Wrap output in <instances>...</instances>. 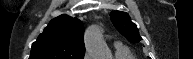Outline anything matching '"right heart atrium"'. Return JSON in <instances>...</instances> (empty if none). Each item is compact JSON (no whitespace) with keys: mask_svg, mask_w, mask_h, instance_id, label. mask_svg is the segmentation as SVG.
<instances>
[{"mask_svg":"<svg viewBox=\"0 0 193 59\" xmlns=\"http://www.w3.org/2000/svg\"><path fill=\"white\" fill-rule=\"evenodd\" d=\"M84 59H90V55H89L88 53H86V54L84 55Z\"/></svg>","mask_w":193,"mask_h":59,"instance_id":"d8ad5b80","label":"right heart atrium"}]
</instances>
